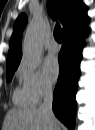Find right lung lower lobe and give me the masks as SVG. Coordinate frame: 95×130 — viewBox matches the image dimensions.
Listing matches in <instances>:
<instances>
[{
  "label": "right lung lower lobe",
  "mask_w": 95,
  "mask_h": 130,
  "mask_svg": "<svg viewBox=\"0 0 95 130\" xmlns=\"http://www.w3.org/2000/svg\"><path fill=\"white\" fill-rule=\"evenodd\" d=\"M88 30H81L63 38L59 53V78L53 94V111L68 128L75 124V94L80 75L81 51Z\"/></svg>",
  "instance_id": "98d812e1"
}]
</instances>
